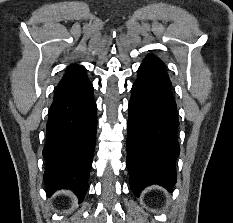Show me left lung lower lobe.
<instances>
[{"label":"left lung lower lobe","instance_id":"0a47b994","mask_svg":"<svg viewBox=\"0 0 233 223\" xmlns=\"http://www.w3.org/2000/svg\"><path fill=\"white\" fill-rule=\"evenodd\" d=\"M137 75L129 102L126 165L130 185L135 196L151 184L172 191L180 147L171 82L164 63L153 55L144 59Z\"/></svg>","mask_w":233,"mask_h":223}]
</instances>
